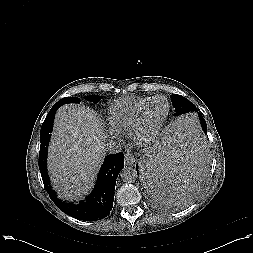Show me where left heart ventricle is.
<instances>
[{
    "mask_svg": "<svg viewBox=\"0 0 253 253\" xmlns=\"http://www.w3.org/2000/svg\"><path fill=\"white\" fill-rule=\"evenodd\" d=\"M167 112V101L163 98H158L152 102L148 107L145 120L143 123V128L145 130H150L156 127L164 118Z\"/></svg>",
    "mask_w": 253,
    "mask_h": 253,
    "instance_id": "obj_1",
    "label": "left heart ventricle"
}]
</instances>
